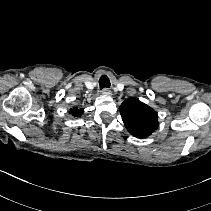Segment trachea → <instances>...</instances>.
Masks as SVG:
<instances>
[{
  "mask_svg": "<svg viewBox=\"0 0 211 211\" xmlns=\"http://www.w3.org/2000/svg\"><path fill=\"white\" fill-rule=\"evenodd\" d=\"M100 89L110 88V81L106 76H102L99 80Z\"/></svg>",
  "mask_w": 211,
  "mask_h": 211,
  "instance_id": "trachea-1",
  "label": "trachea"
}]
</instances>
